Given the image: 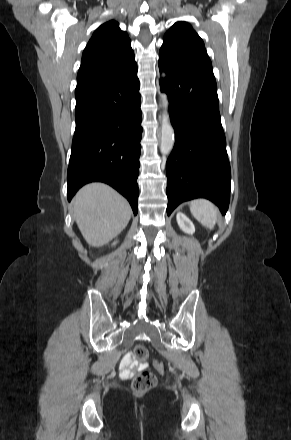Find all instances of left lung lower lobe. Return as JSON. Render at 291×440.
<instances>
[{
  "instance_id": "1",
  "label": "left lung lower lobe",
  "mask_w": 291,
  "mask_h": 440,
  "mask_svg": "<svg viewBox=\"0 0 291 440\" xmlns=\"http://www.w3.org/2000/svg\"><path fill=\"white\" fill-rule=\"evenodd\" d=\"M168 77L160 81L168 94L175 145L166 163L167 214L182 202L204 197L225 214L231 172L221 125L217 85L211 74L159 59Z\"/></svg>"
}]
</instances>
